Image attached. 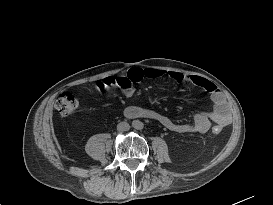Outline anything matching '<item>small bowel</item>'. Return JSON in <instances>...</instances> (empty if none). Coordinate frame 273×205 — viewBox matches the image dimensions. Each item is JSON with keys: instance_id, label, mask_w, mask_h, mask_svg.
<instances>
[{"instance_id": "obj_1", "label": "small bowel", "mask_w": 273, "mask_h": 205, "mask_svg": "<svg viewBox=\"0 0 273 205\" xmlns=\"http://www.w3.org/2000/svg\"><path fill=\"white\" fill-rule=\"evenodd\" d=\"M143 76L146 79H156L162 75L168 76L176 82H186L194 86L200 87L210 94L213 101L211 110H203L197 113L190 123H175L168 117L159 114L155 111H149L139 106H130L127 108V113L131 117H138L141 112L147 114V117L157 120L165 128L177 133H205L213 124L224 127L231 121L229 105L218 87L211 81L197 75H184L179 72L162 71L154 68L142 70ZM122 89L125 97L133 96L135 90L130 84L128 76H111L106 77L98 83V89L108 97H114L118 94L117 89Z\"/></svg>"}]
</instances>
